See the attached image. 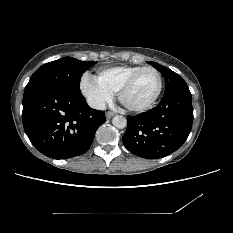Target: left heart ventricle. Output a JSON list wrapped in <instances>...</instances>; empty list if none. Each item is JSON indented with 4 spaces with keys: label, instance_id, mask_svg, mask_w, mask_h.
<instances>
[{
    "label": "left heart ventricle",
    "instance_id": "b2bd125f",
    "mask_svg": "<svg viewBox=\"0 0 233 233\" xmlns=\"http://www.w3.org/2000/svg\"><path fill=\"white\" fill-rule=\"evenodd\" d=\"M158 86L157 74L150 70L144 72L135 84L126 92L124 101L130 106H139L149 101L156 93Z\"/></svg>",
    "mask_w": 233,
    "mask_h": 233
}]
</instances>
